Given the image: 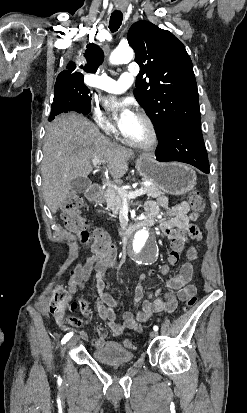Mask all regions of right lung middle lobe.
I'll return each instance as SVG.
<instances>
[{
  "mask_svg": "<svg viewBox=\"0 0 247 413\" xmlns=\"http://www.w3.org/2000/svg\"><path fill=\"white\" fill-rule=\"evenodd\" d=\"M90 90L83 81L60 82L55 84L54 98L75 97L88 104L91 101Z\"/></svg>",
  "mask_w": 247,
  "mask_h": 413,
  "instance_id": "right-lung-middle-lobe-1",
  "label": "right lung middle lobe"
}]
</instances>
